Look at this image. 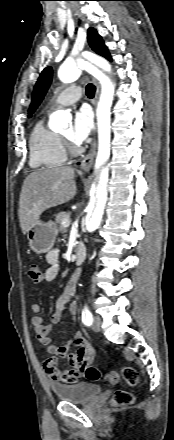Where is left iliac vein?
I'll list each match as a JSON object with an SVG mask.
<instances>
[{
    "label": "left iliac vein",
    "mask_w": 174,
    "mask_h": 440,
    "mask_svg": "<svg viewBox=\"0 0 174 440\" xmlns=\"http://www.w3.org/2000/svg\"><path fill=\"white\" fill-rule=\"evenodd\" d=\"M92 329L95 332H99L101 330V319L99 317H95L92 323Z\"/></svg>",
    "instance_id": "4c4485c4"
}]
</instances>
